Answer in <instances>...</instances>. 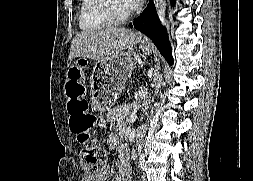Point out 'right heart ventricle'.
Listing matches in <instances>:
<instances>
[{"instance_id": "obj_1", "label": "right heart ventricle", "mask_w": 253, "mask_h": 181, "mask_svg": "<svg viewBox=\"0 0 253 181\" xmlns=\"http://www.w3.org/2000/svg\"><path fill=\"white\" fill-rule=\"evenodd\" d=\"M98 3L99 0H80L78 23L81 30L93 31L108 24L98 11Z\"/></svg>"}]
</instances>
